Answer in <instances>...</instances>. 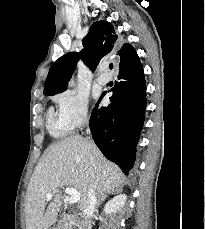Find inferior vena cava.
<instances>
[{
  "mask_svg": "<svg viewBox=\"0 0 205 229\" xmlns=\"http://www.w3.org/2000/svg\"><path fill=\"white\" fill-rule=\"evenodd\" d=\"M86 133L90 134L89 127L87 128ZM96 204H97V194L95 192L94 186L91 184L87 191L86 198L83 202V209H82L87 224L89 223L90 214L95 210Z\"/></svg>",
  "mask_w": 205,
  "mask_h": 229,
  "instance_id": "obj_1",
  "label": "inferior vena cava"
}]
</instances>
